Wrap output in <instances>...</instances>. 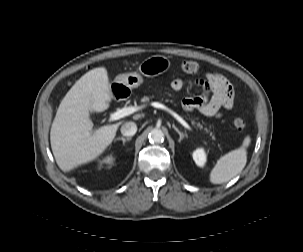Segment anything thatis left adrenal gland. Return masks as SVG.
<instances>
[{
	"label": "left adrenal gland",
	"instance_id": "left-adrenal-gland-1",
	"mask_svg": "<svg viewBox=\"0 0 303 252\" xmlns=\"http://www.w3.org/2000/svg\"><path fill=\"white\" fill-rule=\"evenodd\" d=\"M173 128H174L175 131L179 134V142H181L182 139L185 137L184 133L181 132L175 125H173Z\"/></svg>",
	"mask_w": 303,
	"mask_h": 252
}]
</instances>
